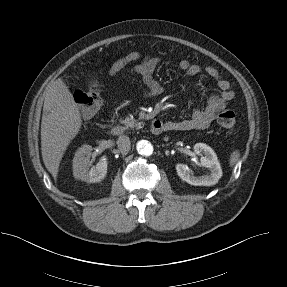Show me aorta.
<instances>
[{
	"label": "aorta",
	"mask_w": 287,
	"mask_h": 287,
	"mask_svg": "<svg viewBox=\"0 0 287 287\" xmlns=\"http://www.w3.org/2000/svg\"><path fill=\"white\" fill-rule=\"evenodd\" d=\"M136 149L140 155L150 156L153 153V145L148 140H139L136 144Z\"/></svg>",
	"instance_id": "762f6f07"
}]
</instances>
